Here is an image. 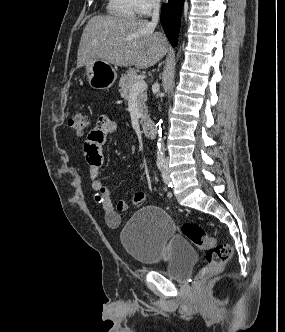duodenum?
Segmentation results:
<instances>
[{"label": "duodenum", "mask_w": 285, "mask_h": 332, "mask_svg": "<svg viewBox=\"0 0 285 332\" xmlns=\"http://www.w3.org/2000/svg\"><path fill=\"white\" fill-rule=\"evenodd\" d=\"M142 131L143 134L149 138L152 139L155 137V126L154 123L151 121H147L142 125Z\"/></svg>", "instance_id": "obj_1"}]
</instances>
